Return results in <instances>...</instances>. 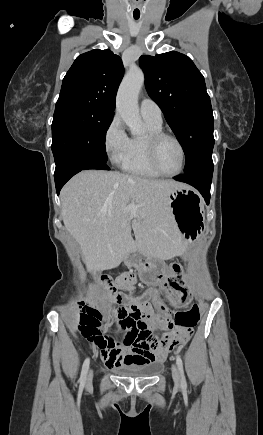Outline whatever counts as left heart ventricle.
Listing matches in <instances>:
<instances>
[{
	"mask_svg": "<svg viewBox=\"0 0 263 435\" xmlns=\"http://www.w3.org/2000/svg\"><path fill=\"white\" fill-rule=\"evenodd\" d=\"M157 161L160 168L167 173L178 171L182 164L180 148L170 139L163 140L157 149Z\"/></svg>",
	"mask_w": 263,
	"mask_h": 435,
	"instance_id": "b2bd125f",
	"label": "left heart ventricle"
}]
</instances>
